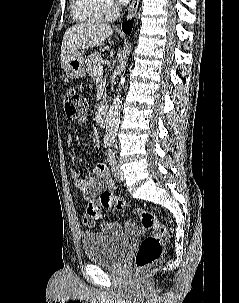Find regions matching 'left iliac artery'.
<instances>
[{
	"instance_id": "obj_1",
	"label": "left iliac artery",
	"mask_w": 239,
	"mask_h": 303,
	"mask_svg": "<svg viewBox=\"0 0 239 303\" xmlns=\"http://www.w3.org/2000/svg\"><path fill=\"white\" fill-rule=\"evenodd\" d=\"M108 162L111 165L112 169H114L116 166V159H115L114 153L112 152L111 149L108 152Z\"/></svg>"
}]
</instances>
